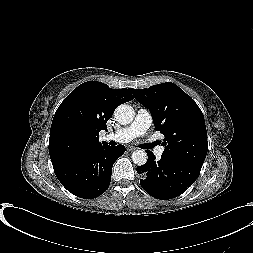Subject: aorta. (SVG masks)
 Wrapping results in <instances>:
<instances>
[{
	"instance_id": "1",
	"label": "aorta",
	"mask_w": 253,
	"mask_h": 253,
	"mask_svg": "<svg viewBox=\"0 0 253 253\" xmlns=\"http://www.w3.org/2000/svg\"><path fill=\"white\" fill-rule=\"evenodd\" d=\"M114 116L118 123L126 125L133 121L135 112L130 105L121 104L116 108ZM131 158L135 164L141 166L147 162L148 156L144 150H136L132 153Z\"/></svg>"
}]
</instances>
